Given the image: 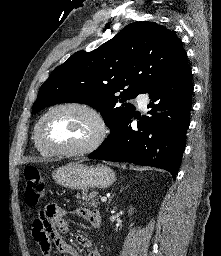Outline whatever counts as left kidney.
Wrapping results in <instances>:
<instances>
[{
    "label": "left kidney",
    "instance_id": "obj_1",
    "mask_svg": "<svg viewBox=\"0 0 221 256\" xmlns=\"http://www.w3.org/2000/svg\"><path fill=\"white\" fill-rule=\"evenodd\" d=\"M129 213H130V214L132 213V209H131V211H129Z\"/></svg>",
    "mask_w": 221,
    "mask_h": 256
}]
</instances>
